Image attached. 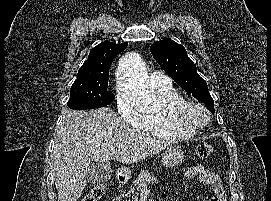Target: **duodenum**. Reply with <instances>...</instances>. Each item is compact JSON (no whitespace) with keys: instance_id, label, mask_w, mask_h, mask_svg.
I'll return each instance as SVG.
<instances>
[{"instance_id":"410a0bca","label":"duodenum","mask_w":271,"mask_h":201,"mask_svg":"<svg viewBox=\"0 0 271 201\" xmlns=\"http://www.w3.org/2000/svg\"><path fill=\"white\" fill-rule=\"evenodd\" d=\"M116 180L120 184L125 183L127 181V175L123 171H117Z\"/></svg>"}]
</instances>
